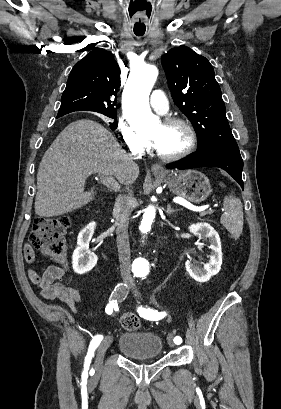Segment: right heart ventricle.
Segmentation results:
<instances>
[{
	"label": "right heart ventricle",
	"instance_id": "right-heart-ventricle-1",
	"mask_svg": "<svg viewBox=\"0 0 281 409\" xmlns=\"http://www.w3.org/2000/svg\"><path fill=\"white\" fill-rule=\"evenodd\" d=\"M144 149H142V150H140V151H138V152H141V151H143Z\"/></svg>",
	"mask_w": 281,
	"mask_h": 409
}]
</instances>
